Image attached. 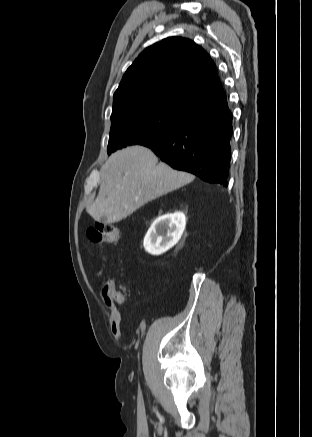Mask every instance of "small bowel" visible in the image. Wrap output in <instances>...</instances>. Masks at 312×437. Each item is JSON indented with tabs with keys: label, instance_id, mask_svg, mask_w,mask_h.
<instances>
[{
	"label": "small bowel",
	"instance_id": "small-bowel-1",
	"mask_svg": "<svg viewBox=\"0 0 312 437\" xmlns=\"http://www.w3.org/2000/svg\"><path fill=\"white\" fill-rule=\"evenodd\" d=\"M106 284L105 286L102 288V295H103V299H104V303L106 308L109 311L110 314V330L111 333L113 334V336L116 338V340L123 342V336L121 334V330H120V323H121V313L118 309V307L115 305V303L113 302V300H111L107 295H106Z\"/></svg>",
	"mask_w": 312,
	"mask_h": 437
}]
</instances>
